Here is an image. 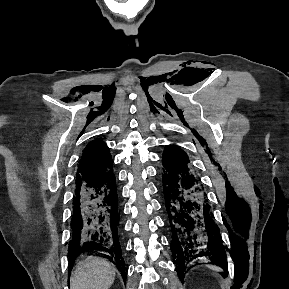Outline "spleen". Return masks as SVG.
<instances>
[{"mask_svg": "<svg viewBox=\"0 0 289 289\" xmlns=\"http://www.w3.org/2000/svg\"><path fill=\"white\" fill-rule=\"evenodd\" d=\"M210 268L213 269V270L219 271V267H217V266L211 265Z\"/></svg>", "mask_w": 289, "mask_h": 289, "instance_id": "1", "label": "spleen"}]
</instances>
